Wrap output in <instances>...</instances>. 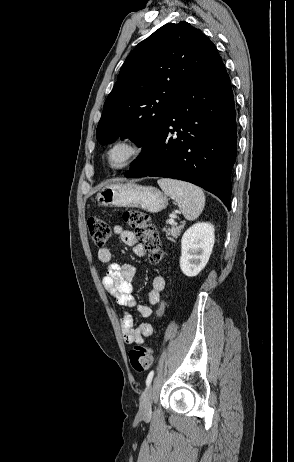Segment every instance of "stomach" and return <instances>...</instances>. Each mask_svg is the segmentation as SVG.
<instances>
[{
    "label": "stomach",
    "instance_id": "0dacf381",
    "mask_svg": "<svg viewBox=\"0 0 294 462\" xmlns=\"http://www.w3.org/2000/svg\"><path fill=\"white\" fill-rule=\"evenodd\" d=\"M99 205L104 207H137L150 213L165 209L168 200L158 189L135 183H116L103 187L97 194Z\"/></svg>",
    "mask_w": 294,
    "mask_h": 462
}]
</instances>
